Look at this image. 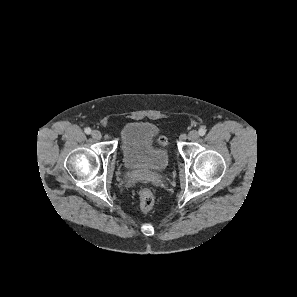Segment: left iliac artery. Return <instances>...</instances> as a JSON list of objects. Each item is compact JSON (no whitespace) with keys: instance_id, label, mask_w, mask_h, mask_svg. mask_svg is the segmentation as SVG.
<instances>
[{"instance_id":"obj_1","label":"left iliac artery","mask_w":297,"mask_h":297,"mask_svg":"<svg viewBox=\"0 0 297 297\" xmlns=\"http://www.w3.org/2000/svg\"><path fill=\"white\" fill-rule=\"evenodd\" d=\"M199 135L200 136H204L205 135V133H206V130L204 129V128H201V129H199Z\"/></svg>"}]
</instances>
